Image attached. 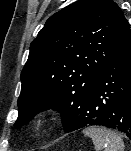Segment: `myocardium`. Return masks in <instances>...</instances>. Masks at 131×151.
I'll return each instance as SVG.
<instances>
[{"label": "myocardium", "instance_id": "1", "mask_svg": "<svg viewBox=\"0 0 131 151\" xmlns=\"http://www.w3.org/2000/svg\"><path fill=\"white\" fill-rule=\"evenodd\" d=\"M54 120L52 112L44 110L36 113L29 121V129L34 134L46 131Z\"/></svg>", "mask_w": 131, "mask_h": 151}]
</instances>
